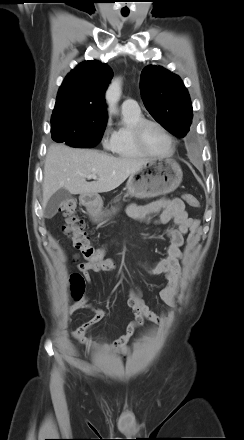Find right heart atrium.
I'll return each instance as SVG.
<instances>
[{
	"instance_id": "obj_1",
	"label": "right heart atrium",
	"mask_w": 244,
	"mask_h": 440,
	"mask_svg": "<svg viewBox=\"0 0 244 440\" xmlns=\"http://www.w3.org/2000/svg\"><path fill=\"white\" fill-rule=\"evenodd\" d=\"M112 133L110 132V123L107 122L102 132L101 142L103 147L109 148L111 145Z\"/></svg>"
}]
</instances>
